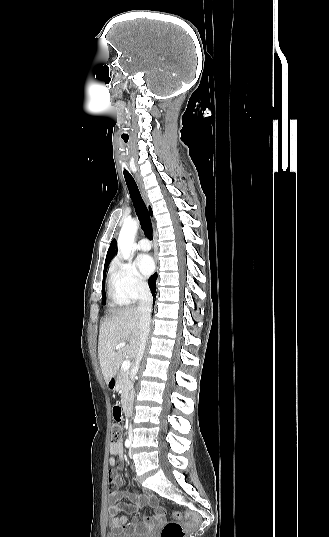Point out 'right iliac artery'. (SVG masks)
Returning <instances> with one entry per match:
<instances>
[{
    "label": "right iliac artery",
    "mask_w": 329,
    "mask_h": 537,
    "mask_svg": "<svg viewBox=\"0 0 329 537\" xmlns=\"http://www.w3.org/2000/svg\"><path fill=\"white\" fill-rule=\"evenodd\" d=\"M130 444H131L130 440H129V439H126V441H125V446H126L127 448H129V447H130Z\"/></svg>",
    "instance_id": "82829eb1"
}]
</instances>
